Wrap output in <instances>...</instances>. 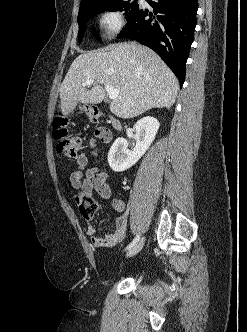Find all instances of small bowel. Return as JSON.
<instances>
[{"label":"small bowel","mask_w":247,"mask_h":332,"mask_svg":"<svg viewBox=\"0 0 247 332\" xmlns=\"http://www.w3.org/2000/svg\"><path fill=\"white\" fill-rule=\"evenodd\" d=\"M111 139V132L107 128H98L90 142L89 153H81L77 156L75 169L70 175V183L73 188L82 191L88 197L97 192L101 197L111 199L113 210L120 213L114 219V231L110 235L99 237L96 235L95 228L88 225L87 235L93 247L115 246L124 241L127 235V218L122 214L125 210V203L120 198H111L108 174L98 162L100 145L109 143ZM89 162L93 164L91 167H88Z\"/></svg>","instance_id":"small-bowel-1"}]
</instances>
